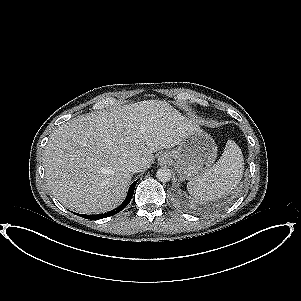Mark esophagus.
I'll list each match as a JSON object with an SVG mask.
<instances>
[{
  "instance_id": "obj_1",
  "label": "esophagus",
  "mask_w": 301,
  "mask_h": 301,
  "mask_svg": "<svg viewBox=\"0 0 301 301\" xmlns=\"http://www.w3.org/2000/svg\"><path fill=\"white\" fill-rule=\"evenodd\" d=\"M170 161V157L168 154H162L159 158H158V163L160 165H165Z\"/></svg>"
}]
</instances>
